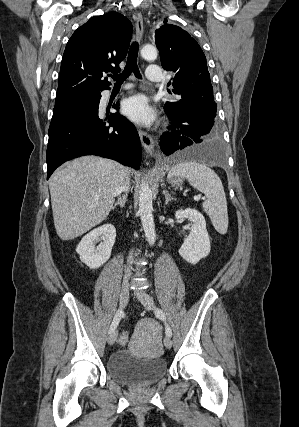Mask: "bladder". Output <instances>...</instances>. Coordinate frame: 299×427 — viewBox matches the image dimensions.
Here are the masks:
<instances>
[{"instance_id": "bladder-1", "label": "bladder", "mask_w": 299, "mask_h": 427, "mask_svg": "<svg viewBox=\"0 0 299 427\" xmlns=\"http://www.w3.org/2000/svg\"><path fill=\"white\" fill-rule=\"evenodd\" d=\"M167 365L161 357H140L126 349L114 352L107 363L109 377L117 383L146 386L162 379Z\"/></svg>"}]
</instances>
